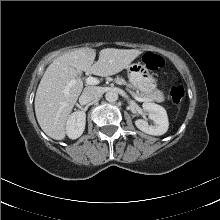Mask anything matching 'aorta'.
Instances as JSON below:
<instances>
[{"mask_svg":"<svg viewBox=\"0 0 220 220\" xmlns=\"http://www.w3.org/2000/svg\"><path fill=\"white\" fill-rule=\"evenodd\" d=\"M105 98L108 102H115L118 99V94L113 91H109L105 94Z\"/></svg>","mask_w":220,"mask_h":220,"instance_id":"762f6f07","label":"aorta"}]
</instances>
